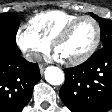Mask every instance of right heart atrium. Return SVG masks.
Wrapping results in <instances>:
<instances>
[{
  "mask_svg": "<svg viewBox=\"0 0 112 112\" xmlns=\"http://www.w3.org/2000/svg\"><path fill=\"white\" fill-rule=\"evenodd\" d=\"M15 41L28 61H35L49 49V43L42 40L29 26H20L15 35Z\"/></svg>",
  "mask_w": 112,
  "mask_h": 112,
  "instance_id": "1",
  "label": "right heart atrium"
}]
</instances>
